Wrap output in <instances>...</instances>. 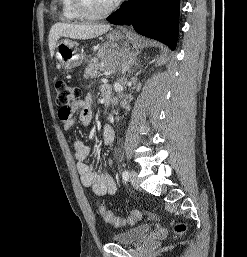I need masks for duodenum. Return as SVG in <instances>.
<instances>
[{"instance_id":"1","label":"duodenum","mask_w":247,"mask_h":257,"mask_svg":"<svg viewBox=\"0 0 247 257\" xmlns=\"http://www.w3.org/2000/svg\"><path fill=\"white\" fill-rule=\"evenodd\" d=\"M101 92L103 94L105 105L109 107L112 103V88L109 84H104L101 87Z\"/></svg>"}]
</instances>
